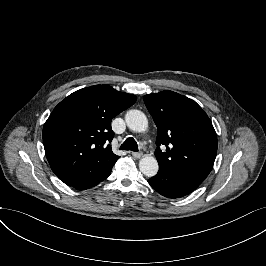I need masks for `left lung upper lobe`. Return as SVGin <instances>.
<instances>
[{"label": "left lung upper lobe", "mask_w": 266, "mask_h": 266, "mask_svg": "<svg viewBox=\"0 0 266 266\" xmlns=\"http://www.w3.org/2000/svg\"><path fill=\"white\" fill-rule=\"evenodd\" d=\"M144 102L158 130L159 167L202 183L217 153L216 132L207 114L195 101L172 91L145 95Z\"/></svg>", "instance_id": "1"}]
</instances>
